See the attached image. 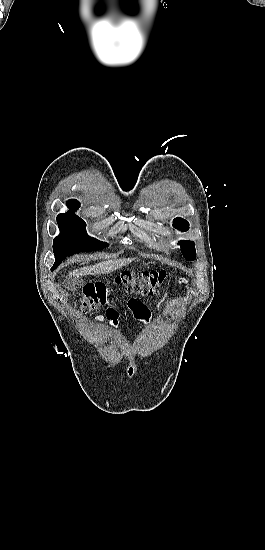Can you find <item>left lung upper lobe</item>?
<instances>
[{"label":"left lung upper lobe","mask_w":265,"mask_h":550,"mask_svg":"<svg viewBox=\"0 0 265 550\" xmlns=\"http://www.w3.org/2000/svg\"><path fill=\"white\" fill-rule=\"evenodd\" d=\"M173 226L184 232L188 230L189 223L182 218H176ZM179 244L181 246V252L187 261L196 259L195 244L193 241H180Z\"/></svg>","instance_id":"left-lung-upper-lobe-1"}]
</instances>
